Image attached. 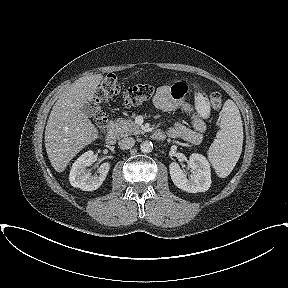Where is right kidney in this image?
Instances as JSON below:
<instances>
[{"label": "right kidney", "mask_w": 288, "mask_h": 288, "mask_svg": "<svg viewBox=\"0 0 288 288\" xmlns=\"http://www.w3.org/2000/svg\"><path fill=\"white\" fill-rule=\"evenodd\" d=\"M93 161V151H87L73 163L69 175V181L73 187L83 191H93L102 185L110 169V164L108 162L101 164L98 169L99 174L91 175L87 167L91 166Z\"/></svg>", "instance_id": "ca27d5eb"}]
</instances>
